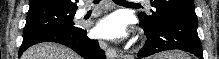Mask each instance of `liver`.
I'll list each match as a JSON object with an SVG mask.
<instances>
[{
  "label": "liver",
  "instance_id": "6515ba94",
  "mask_svg": "<svg viewBox=\"0 0 219 59\" xmlns=\"http://www.w3.org/2000/svg\"><path fill=\"white\" fill-rule=\"evenodd\" d=\"M21 59H81V57L59 44L41 43L27 49Z\"/></svg>",
  "mask_w": 219,
  "mask_h": 59
}]
</instances>
